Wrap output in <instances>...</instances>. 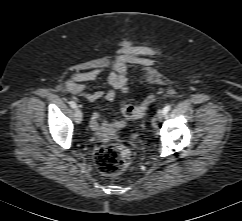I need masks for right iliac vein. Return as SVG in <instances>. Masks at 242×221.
<instances>
[{"mask_svg":"<svg viewBox=\"0 0 242 221\" xmlns=\"http://www.w3.org/2000/svg\"><path fill=\"white\" fill-rule=\"evenodd\" d=\"M74 118H75L76 123H78V124L81 123V121L83 119V114L80 109L75 110Z\"/></svg>","mask_w":242,"mask_h":221,"instance_id":"right-iliac-vein-1","label":"right iliac vein"}]
</instances>
